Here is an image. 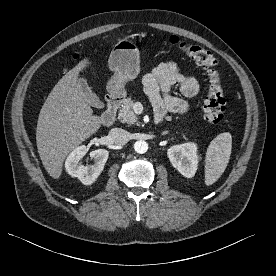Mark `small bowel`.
<instances>
[{"label": "small bowel", "instance_id": "1", "mask_svg": "<svg viewBox=\"0 0 276 276\" xmlns=\"http://www.w3.org/2000/svg\"><path fill=\"white\" fill-rule=\"evenodd\" d=\"M175 85L187 97H193L199 91L198 81L182 72L174 62L161 63L144 76V90L156 115L164 116L167 112L183 114L187 111L185 100L170 95V90Z\"/></svg>", "mask_w": 276, "mask_h": 276}]
</instances>
